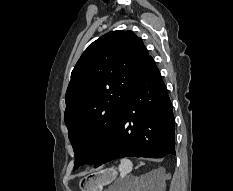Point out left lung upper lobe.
<instances>
[{
	"label": "left lung upper lobe",
	"mask_w": 233,
	"mask_h": 191,
	"mask_svg": "<svg viewBox=\"0 0 233 191\" xmlns=\"http://www.w3.org/2000/svg\"><path fill=\"white\" fill-rule=\"evenodd\" d=\"M149 57L132 31H111L76 63L65 95V124L76 156L74 169L94 164L103 151L130 88ZM102 132L104 138L97 134Z\"/></svg>",
	"instance_id": "1"
}]
</instances>
